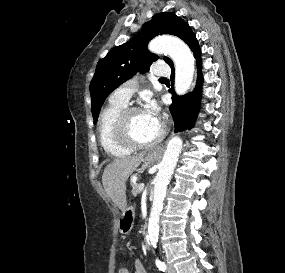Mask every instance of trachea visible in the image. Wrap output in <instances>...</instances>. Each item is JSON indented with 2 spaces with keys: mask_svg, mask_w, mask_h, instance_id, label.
Returning a JSON list of instances; mask_svg holds the SVG:
<instances>
[{
  "mask_svg": "<svg viewBox=\"0 0 285 273\" xmlns=\"http://www.w3.org/2000/svg\"><path fill=\"white\" fill-rule=\"evenodd\" d=\"M167 79H164V78H160V81H166Z\"/></svg>",
  "mask_w": 285,
  "mask_h": 273,
  "instance_id": "trachea-1",
  "label": "trachea"
}]
</instances>
